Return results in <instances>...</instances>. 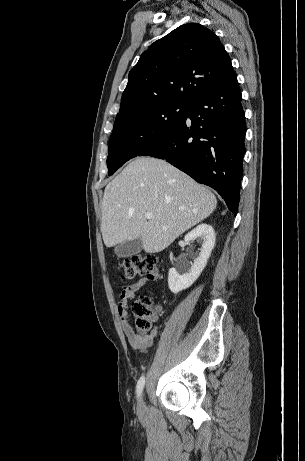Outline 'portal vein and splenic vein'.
Segmentation results:
<instances>
[{
    "label": "portal vein and splenic vein",
    "instance_id": "1",
    "mask_svg": "<svg viewBox=\"0 0 305 461\" xmlns=\"http://www.w3.org/2000/svg\"><path fill=\"white\" fill-rule=\"evenodd\" d=\"M145 217H146L147 219H152V218H153V214L150 213V212H147V213L145 214Z\"/></svg>",
    "mask_w": 305,
    "mask_h": 461
}]
</instances>
